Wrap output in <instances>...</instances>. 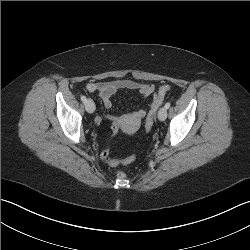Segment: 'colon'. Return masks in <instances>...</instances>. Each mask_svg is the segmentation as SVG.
I'll return each instance as SVG.
<instances>
[{
	"label": "colon",
	"mask_w": 250,
	"mask_h": 250,
	"mask_svg": "<svg viewBox=\"0 0 250 250\" xmlns=\"http://www.w3.org/2000/svg\"><path fill=\"white\" fill-rule=\"evenodd\" d=\"M169 90H170V85L164 84L154 94L148 115L145 120V129L147 132H149L151 128L153 127L154 122H155L156 111L162 104L164 97ZM119 129H120V124L118 123V120H113L111 124V130L109 134H107V137L104 139V148L99 154L100 157L111 166H117L120 163L123 165L129 164L132 161H134L136 157L135 154H131L121 161L110 158L109 152H108L109 146H111V144L113 143L114 136H116L119 133ZM116 175L118 178L123 179L125 178L126 173L122 169H118L116 172Z\"/></svg>",
	"instance_id": "5ec220e1"
}]
</instances>
